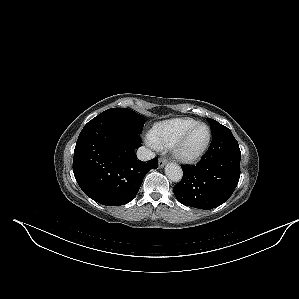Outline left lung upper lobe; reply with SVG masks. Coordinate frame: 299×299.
Here are the masks:
<instances>
[{"label": "left lung upper lobe", "mask_w": 299, "mask_h": 299, "mask_svg": "<svg viewBox=\"0 0 299 299\" xmlns=\"http://www.w3.org/2000/svg\"><path fill=\"white\" fill-rule=\"evenodd\" d=\"M207 121L211 124V130L213 134L225 128V126L221 125L220 123H218L213 119L207 118Z\"/></svg>", "instance_id": "obj_1"}]
</instances>
